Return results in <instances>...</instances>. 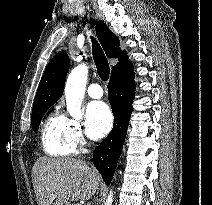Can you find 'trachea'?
I'll list each match as a JSON object with an SVG mask.
<instances>
[{
    "label": "trachea",
    "mask_w": 212,
    "mask_h": 205,
    "mask_svg": "<svg viewBox=\"0 0 212 205\" xmlns=\"http://www.w3.org/2000/svg\"><path fill=\"white\" fill-rule=\"evenodd\" d=\"M92 42L93 59L97 68L98 75L103 81H107L110 74L108 60L98 42L94 38H92Z\"/></svg>",
    "instance_id": "obj_1"
}]
</instances>
